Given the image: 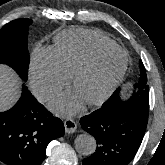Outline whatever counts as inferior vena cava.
I'll list each match as a JSON object with an SVG mask.
<instances>
[{
	"label": "inferior vena cava",
	"instance_id": "obj_1",
	"mask_svg": "<svg viewBox=\"0 0 165 165\" xmlns=\"http://www.w3.org/2000/svg\"><path fill=\"white\" fill-rule=\"evenodd\" d=\"M53 94V90L49 88L41 89L37 92V98L41 101L48 99Z\"/></svg>",
	"mask_w": 165,
	"mask_h": 165
}]
</instances>
